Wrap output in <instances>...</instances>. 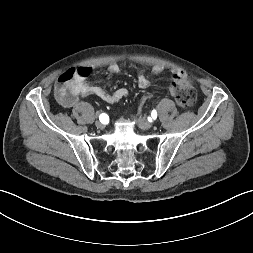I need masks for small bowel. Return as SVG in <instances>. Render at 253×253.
I'll return each instance as SVG.
<instances>
[{
  "instance_id": "1",
  "label": "small bowel",
  "mask_w": 253,
  "mask_h": 253,
  "mask_svg": "<svg viewBox=\"0 0 253 253\" xmlns=\"http://www.w3.org/2000/svg\"><path fill=\"white\" fill-rule=\"evenodd\" d=\"M163 69L164 68L161 65H156L152 68V74L158 75L163 71ZM85 70L88 71V69ZM108 71L112 74H117L120 72V66L118 64H111L108 67ZM172 76L173 82L176 84H180L187 79L186 73L180 69H173ZM137 82L140 88H147L150 85V79L143 71L139 72ZM71 90L73 98L67 102L61 101V104L65 107H72L76 104L79 97H85L89 95H95L108 104L117 103L128 96V90L126 88H120L113 93H109L99 86H93L89 84L86 81V76L76 78L72 83ZM170 93L173 95L171 89Z\"/></svg>"
}]
</instances>
